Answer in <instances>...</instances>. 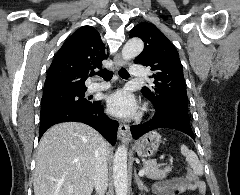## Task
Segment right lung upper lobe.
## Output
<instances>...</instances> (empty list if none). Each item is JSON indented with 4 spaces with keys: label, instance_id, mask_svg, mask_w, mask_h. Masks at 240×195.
Wrapping results in <instances>:
<instances>
[{
    "label": "right lung upper lobe",
    "instance_id": "obj_1",
    "mask_svg": "<svg viewBox=\"0 0 240 195\" xmlns=\"http://www.w3.org/2000/svg\"><path fill=\"white\" fill-rule=\"evenodd\" d=\"M107 57L100 34L91 26L79 28L65 41L51 63L43 95L87 89L88 72L100 69Z\"/></svg>",
    "mask_w": 240,
    "mask_h": 195
}]
</instances>
